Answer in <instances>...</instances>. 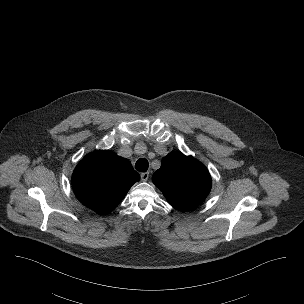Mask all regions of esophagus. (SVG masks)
Wrapping results in <instances>:
<instances>
[{
    "instance_id": "1",
    "label": "esophagus",
    "mask_w": 304,
    "mask_h": 304,
    "mask_svg": "<svg viewBox=\"0 0 304 304\" xmlns=\"http://www.w3.org/2000/svg\"><path fill=\"white\" fill-rule=\"evenodd\" d=\"M149 178V173L145 172V173H141V180L142 181H147Z\"/></svg>"
}]
</instances>
